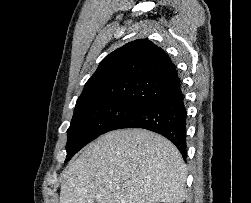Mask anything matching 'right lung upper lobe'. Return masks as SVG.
Returning <instances> with one entry per match:
<instances>
[{
    "instance_id": "right-lung-upper-lobe-1",
    "label": "right lung upper lobe",
    "mask_w": 251,
    "mask_h": 203,
    "mask_svg": "<svg viewBox=\"0 0 251 203\" xmlns=\"http://www.w3.org/2000/svg\"><path fill=\"white\" fill-rule=\"evenodd\" d=\"M179 88L178 74L169 56L151 41L139 39L101 61L76 105L125 103L144 107Z\"/></svg>"
}]
</instances>
